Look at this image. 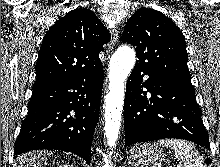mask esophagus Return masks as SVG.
<instances>
[{
    "mask_svg": "<svg viewBox=\"0 0 220 167\" xmlns=\"http://www.w3.org/2000/svg\"><path fill=\"white\" fill-rule=\"evenodd\" d=\"M117 39H118V31H117V29L115 28V29H112V31H111V41H110V43H109V45H108V51L110 52L112 49H113V47L115 46V44H116V42H117Z\"/></svg>",
    "mask_w": 220,
    "mask_h": 167,
    "instance_id": "34e87169",
    "label": "esophagus"
}]
</instances>
